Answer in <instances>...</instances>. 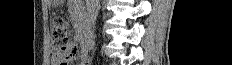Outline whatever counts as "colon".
Segmentation results:
<instances>
[{"instance_id":"1","label":"colon","mask_w":232,"mask_h":65,"mask_svg":"<svg viewBox=\"0 0 232 65\" xmlns=\"http://www.w3.org/2000/svg\"><path fill=\"white\" fill-rule=\"evenodd\" d=\"M54 61L58 65H70L77 58V48L69 41L68 23L63 18L54 21L51 30Z\"/></svg>"}]
</instances>
